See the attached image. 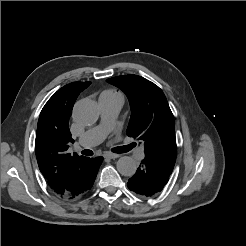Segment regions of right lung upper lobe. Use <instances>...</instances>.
Instances as JSON below:
<instances>
[{
  "instance_id": "1",
  "label": "right lung upper lobe",
  "mask_w": 246,
  "mask_h": 246,
  "mask_svg": "<svg viewBox=\"0 0 246 246\" xmlns=\"http://www.w3.org/2000/svg\"><path fill=\"white\" fill-rule=\"evenodd\" d=\"M91 82H72L60 88L43 107L37 126L35 153L39 169L49 186L59 192L87 157L68 153L74 140L69 118L78 95Z\"/></svg>"
}]
</instances>
